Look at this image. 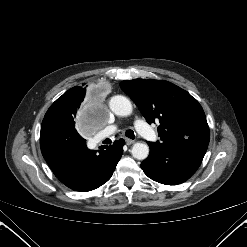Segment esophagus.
Listing matches in <instances>:
<instances>
[{
    "instance_id": "esophagus-1",
    "label": "esophagus",
    "mask_w": 247,
    "mask_h": 247,
    "mask_svg": "<svg viewBox=\"0 0 247 247\" xmlns=\"http://www.w3.org/2000/svg\"><path fill=\"white\" fill-rule=\"evenodd\" d=\"M125 142H126L127 145H131V144H133L135 141L132 140V139L126 138V139H125Z\"/></svg>"
}]
</instances>
